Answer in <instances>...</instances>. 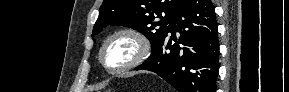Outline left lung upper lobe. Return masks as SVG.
<instances>
[{
	"label": "left lung upper lobe",
	"mask_w": 289,
	"mask_h": 92,
	"mask_svg": "<svg viewBox=\"0 0 289 92\" xmlns=\"http://www.w3.org/2000/svg\"><path fill=\"white\" fill-rule=\"evenodd\" d=\"M182 0H104L93 27L95 36L108 25L126 26L143 33L154 54L163 41L166 28ZM164 15V17L162 16ZM160 18V21L157 19Z\"/></svg>",
	"instance_id": "obj_1"
}]
</instances>
